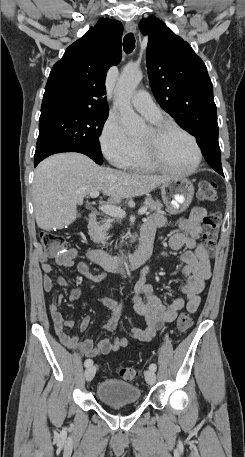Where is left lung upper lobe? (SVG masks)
<instances>
[{
	"label": "left lung upper lobe",
	"instance_id": "5c2ea615",
	"mask_svg": "<svg viewBox=\"0 0 245 457\" xmlns=\"http://www.w3.org/2000/svg\"><path fill=\"white\" fill-rule=\"evenodd\" d=\"M139 26L148 35L149 83L161 107L193 135L218 125L213 85L203 61L158 18L150 16Z\"/></svg>",
	"mask_w": 245,
	"mask_h": 457
}]
</instances>
